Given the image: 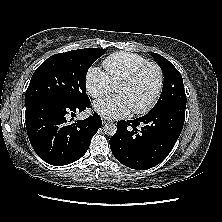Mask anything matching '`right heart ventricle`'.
<instances>
[{
	"label": "right heart ventricle",
	"instance_id": "e07e8e85",
	"mask_svg": "<svg viewBox=\"0 0 222 222\" xmlns=\"http://www.w3.org/2000/svg\"><path fill=\"white\" fill-rule=\"evenodd\" d=\"M148 61L137 54L116 52L108 56L103 65L113 84L117 86L125 77Z\"/></svg>",
	"mask_w": 222,
	"mask_h": 222
}]
</instances>
